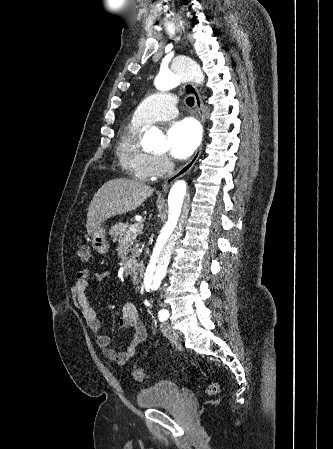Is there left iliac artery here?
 <instances>
[{
  "label": "left iliac artery",
  "instance_id": "left-iliac-artery-1",
  "mask_svg": "<svg viewBox=\"0 0 333 449\" xmlns=\"http://www.w3.org/2000/svg\"><path fill=\"white\" fill-rule=\"evenodd\" d=\"M169 317V312L167 310H160L158 313V318L162 322L164 320H167Z\"/></svg>",
  "mask_w": 333,
  "mask_h": 449
}]
</instances>
